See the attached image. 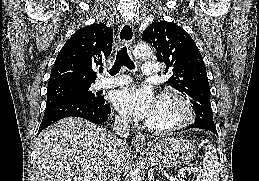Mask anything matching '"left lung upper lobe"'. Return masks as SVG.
<instances>
[{
  "instance_id": "obj_1",
  "label": "left lung upper lobe",
  "mask_w": 259,
  "mask_h": 181,
  "mask_svg": "<svg viewBox=\"0 0 259 181\" xmlns=\"http://www.w3.org/2000/svg\"><path fill=\"white\" fill-rule=\"evenodd\" d=\"M157 50V60L173 73L167 84L184 94L196 114L195 123L216 128L210 103V86L202 55L194 40L171 22H153L142 35Z\"/></svg>"
}]
</instances>
